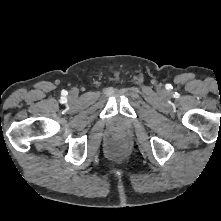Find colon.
Wrapping results in <instances>:
<instances>
[{
    "mask_svg": "<svg viewBox=\"0 0 221 221\" xmlns=\"http://www.w3.org/2000/svg\"><path fill=\"white\" fill-rule=\"evenodd\" d=\"M126 148V145L123 142H114L110 146V154L116 155L122 153Z\"/></svg>",
    "mask_w": 221,
    "mask_h": 221,
    "instance_id": "colon-1",
    "label": "colon"
}]
</instances>
